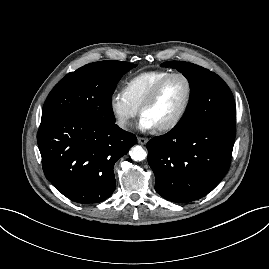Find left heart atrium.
I'll return each mask as SVG.
<instances>
[{"label":"left heart atrium","mask_w":269,"mask_h":269,"mask_svg":"<svg viewBox=\"0 0 269 269\" xmlns=\"http://www.w3.org/2000/svg\"><path fill=\"white\" fill-rule=\"evenodd\" d=\"M138 127L143 131H147V130H151V129L155 128L153 123L144 116H141L139 123H138Z\"/></svg>","instance_id":"1"}]
</instances>
